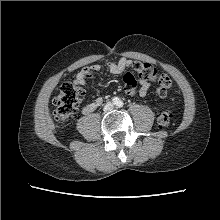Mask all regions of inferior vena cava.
<instances>
[{
  "instance_id": "1",
  "label": "inferior vena cava",
  "mask_w": 220,
  "mask_h": 220,
  "mask_svg": "<svg viewBox=\"0 0 220 220\" xmlns=\"http://www.w3.org/2000/svg\"><path fill=\"white\" fill-rule=\"evenodd\" d=\"M113 108V104L111 102H108L105 106H104V111H109L110 109Z\"/></svg>"
}]
</instances>
